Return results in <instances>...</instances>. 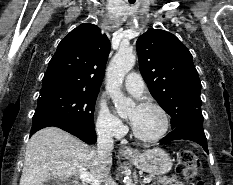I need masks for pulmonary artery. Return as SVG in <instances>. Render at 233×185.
<instances>
[{"label": "pulmonary artery", "mask_w": 233, "mask_h": 185, "mask_svg": "<svg viewBox=\"0 0 233 185\" xmlns=\"http://www.w3.org/2000/svg\"><path fill=\"white\" fill-rule=\"evenodd\" d=\"M125 88L136 96L142 95L145 89L143 78L137 72H130L125 77Z\"/></svg>", "instance_id": "e3ab8cb5"}]
</instances>
